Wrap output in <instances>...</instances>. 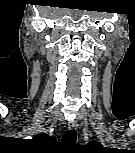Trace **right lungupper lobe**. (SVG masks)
Returning <instances> with one entry per match:
<instances>
[{"label": "right lung upper lobe", "instance_id": "right-lung-upper-lobe-1", "mask_svg": "<svg viewBox=\"0 0 135 153\" xmlns=\"http://www.w3.org/2000/svg\"><path fill=\"white\" fill-rule=\"evenodd\" d=\"M33 140H38V141H43V142L55 141V137L54 136L50 137L48 134L40 133V134L36 135L33 138Z\"/></svg>", "mask_w": 135, "mask_h": 153}]
</instances>
